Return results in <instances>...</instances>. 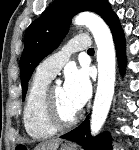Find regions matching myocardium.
<instances>
[{
    "label": "myocardium",
    "instance_id": "myocardium-1",
    "mask_svg": "<svg viewBox=\"0 0 139 150\" xmlns=\"http://www.w3.org/2000/svg\"><path fill=\"white\" fill-rule=\"evenodd\" d=\"M53 89L54 86H50L45 92L43 101V115L45 121L56 130L68 129L79 121L81 112L78 111L70 120H63L57 110Z\"/></svg>",
    "mask_w": 139,
    "mask_h": 150
}]
</instances>
